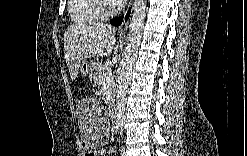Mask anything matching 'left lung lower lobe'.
<instances>
[{
	"label": "left lung lower lobe",
	"instance_id": "0a47b994",
	"mask_svg": "<svg viewBox=\"0 0 247 156\" xmlns=\"http://www.w3.org/2000/svg\"><path fill=\"white\" fill-rule=\"evenodd\" d=\"M122 21H123V16L111 20L110 23H111L112 25L119 26V25L121 24Z\"/></svg>",
	"mask_w": 247,
	"mask_h": 156
}]
</instances>
